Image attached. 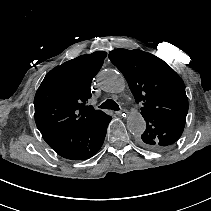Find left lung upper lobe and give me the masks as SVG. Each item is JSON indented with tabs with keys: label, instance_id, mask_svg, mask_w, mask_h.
Instances as JSON below:
<instances>
[{
	"label": "left lung upper lobe",
	"instance_id": "left-lung-upper-lobe-1",
	"mask_svg": "<svg viewBox=\"0 0 211 211\" xmlns=\"http://www.w3.org/2000/svg\"><path fill=\"white\" fill-rule=\"evenodd\" d=\"M111 62L123 73L137 103L146 130L142 145L162 151L182 135L188 113V98L181 77L163 60L141 50L117 49Z\"/></svg>",
	"mask_w": 211,
	"mask_h": 211
}]
</instances>
